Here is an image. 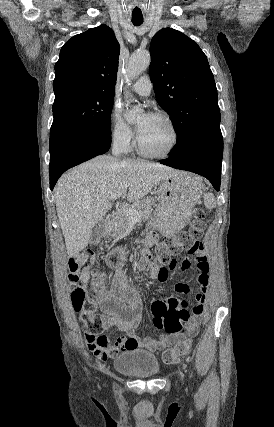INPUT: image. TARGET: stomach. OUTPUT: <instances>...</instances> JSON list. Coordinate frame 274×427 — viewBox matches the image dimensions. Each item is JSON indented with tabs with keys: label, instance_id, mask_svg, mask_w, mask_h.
I'll list each match as a JSON object with an SVG mask.
<instances>
[{
	"label": "stomach",
	"instance_id": "1",
	"mask_svg": "<svg viewBox=\"0 0 274 427\" xmlns=\"http://www.w3.org/2000/svg\"><path fill=\"white\" fill-rule=\"evenodd\" d=\"M196 180L192 174L177 172L162 180L158 192L156 215L148 219V227H157L162 235H174L188 223L191 210L197 204L201 190L191 186ZM196 196V200H193Z\"/></svg>",
	"mask_w": 274,
	"mask_h": 427
}]
</instances>
